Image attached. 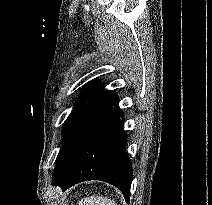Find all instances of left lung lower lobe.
I'll use <instances>...</instances> for the list:
<instances>
[{
    "label": "left lung lower lobe",
    "mask_w": 212,
    "mask_h": 205,
    "mask_svg": "<svg viewBox=\"0 0 212 205\" xmlns=\"http://www.w3.org/2000/svg\"><path fill=\"white\" fill-rule=\"evenodd\" d=\"M123 125L117 96L107 90L78 126L60 174L52 184L65 191L82 181L102 180L119 188L129 201L133 170Z\"/></svg>",
    "instance_id": "left-lung-lower-lobe-1"
}]
</instances>
